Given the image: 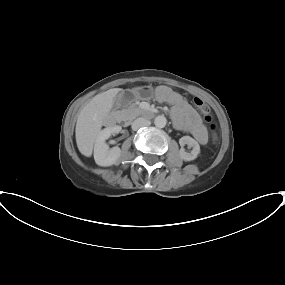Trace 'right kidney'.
Masks as SVG:
<instances>
[{
  "label": "right kidney",
  "instance_id": "1",
  "mask_svg": "<svg viewBox=\"0 0 285 285\" xmlns=\"http://www.w3.org/2000/svg\"><path fill=\"white\" fill-rule=\"evenodd\" d=\"M121 129V126H110L100 131L94 145V160L97 165L107 167L119 161L121 156L120 148L113 147L110 149L105 140L112 134H118Z\"/></svg>",
  "mask_w": 285,
  "mask_h": 285
}]
</instances>
